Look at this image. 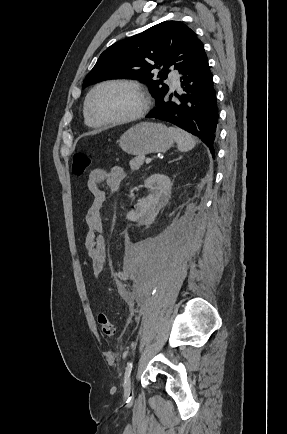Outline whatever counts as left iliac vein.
Returning <instances> with one entry per match:
<instances>
[{
    "label": "left iliac vein",
    "instance_id": "obj_1",
    "mask_svg": "<svg viewBox=\"0 0 287 434\" xmlns=\"http://www.w3.org/2000/svg\"><path fill=\"white\" fill-rule=\"evenodd\" d=\"M131 393V379L130 377L127 379L125 385H124V394L126 396L130 395Z\"/></svg>",
    "mask_w": 287,
    "mask_h": 434
}]
</instances>
